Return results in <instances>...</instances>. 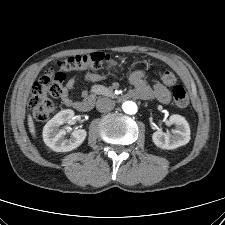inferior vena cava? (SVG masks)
<instances>
[{"mask_svg": "<svg viewBox=\"0 0 225 225\" xmlns=\"http://www.w3.org/2000/svg\"><path fill=\"white\" fill-rule=\"evenodd\" d=\"M115 106L113 100L109 98H100L96 102V108L99 112H108L111 111Z\"/></svg>", "mask_w": 225, "mask_h": 225, "instance_id": "obj_1", "label": "inferior vena cava"}]
</instances>
